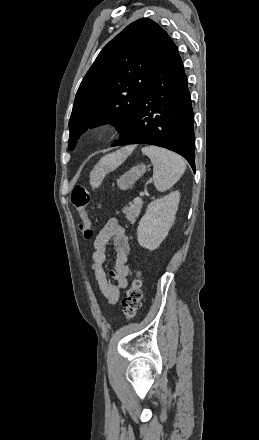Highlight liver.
<instances>
[{
    "label": "liver",
    "instance_id": "liver-1",
    "mask_svg": "<svg viewBox=\"0 0 259 440\" xmlns=\"http://www.w3.org/2000/svg\"><path fill=\"white\" fill-rule=\"evenodd\" d=\"M133 150L134 146H129L101 158L92 173L94 184L99 185L106 173L120 166Z\"/></svg>",
    "mask_w": 259,
    "mask_h": 440
}]
</instances>
